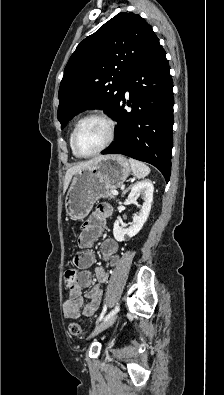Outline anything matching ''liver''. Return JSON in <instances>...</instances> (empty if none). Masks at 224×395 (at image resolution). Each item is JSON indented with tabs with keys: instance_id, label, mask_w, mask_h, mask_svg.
<instances>
[{
	"instance_id": "6515ba94",
	"label": "liver",
	"mask_w": 224,
	"mask_h": 395,
	"mask_svg": "<svg viewBox=\"0 0 224 395\" xmlns=\"http://www.w3.org/2000/svg\"><path fill=\"white\" fill-rule=\"evenodd\" d=\"M99 158H100V157H96V158H93V159H91V160H89V161L81 162V163H79V164H77V165H75V166L69 168V169L67 170V172H66V175H65V179H64V188H63V190L66 191V189L68 188V185H69V183H70V181H71L73 175H75L78 171H80V170H82V169H84V168H86V167L92 165V164H93L94 162H96Z\"/></svg>"
}]
</instances>
